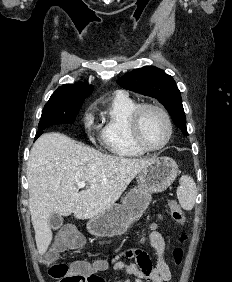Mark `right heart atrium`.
I'll use <instances>...</instances> for the list:
<instances>
[{
  "instance_id": "d8ad5b80",
  "label": "right heart atrium",
  "mask_w": 232,
  "mask_h": 282,
  "mask_svg": "<svg viewBox=\"0 0 232 282\" xmlns=\"http://www.w3.org/2000/svg\"><path fill=\"white\" fill-rule=\"evenodd\" d=\"M92 125H93V117H92V115L88 114L85 117V127L87 129H90Z\"/></svg>"
}]
</instances>
